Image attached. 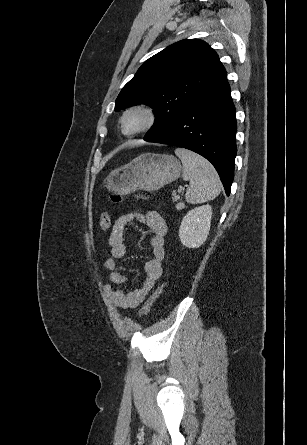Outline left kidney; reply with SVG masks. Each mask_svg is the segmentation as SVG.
<instances>
[{
	"mask_svg": "<svg viewBox=\"0 0 307 445\" xmlns=\"http://www.w3.org/2000/svg\"><path fill=\"white\" fill-rule=\"evenodd\" d=\"M211 214L210 204H202L192 208L183 216L179 237L184 247L198 249L204 245L210 231Z\"/></svg>",
	"mask_w": 307,
	"mask_h": 445,
	"instance_id": "5707ae66",
	"label": "left kidney"
}]
</instances>
